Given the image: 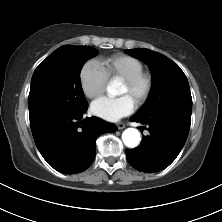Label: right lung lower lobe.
Masks as SVG:
<instances>
[{"label": "right lung lower lobe", "instance_id": "right-lung-lower-lobe-1", "mask_svg": "<svg viewBox=\"0 0 222 222\" xmlns=\"http://www.w3.org/2000/svg\"><path fill=\"white\" fill-rule=\"evenodd\" d=\"M86 109L77 112L47 111L30 117L39 152L59 172L76 174L85 171L95 158L97 137L117 130L115 124L98 117L82 120Z\"/></svg>", "mask_w": 222, "mask_h": 222}]
</instances>
